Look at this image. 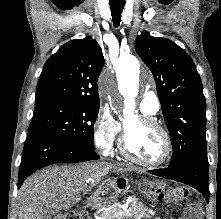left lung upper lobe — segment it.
<instances>
[{"label":"left lung upper lobe","instance_id":"5c2ea615","mask_svg":"<svg viewBox=\"0 0 221 219\" xmlns=\"http://www.w3.org/2000/svg\"><path fill=\"white\" fill-rule=\"evenodd\" d=\"M135 50L151 70L170 133L175 167L194 154L207 153L206 102L192 58L173 41L143 32Z\"/></svg>","mask_w":221,"mask_h":219}]
</instances>
